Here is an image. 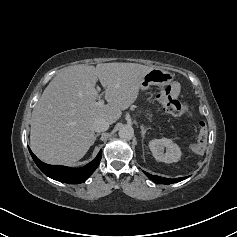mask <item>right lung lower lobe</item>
Returning a JSON list of instances; mask_svg holds the SVG:
<instances>
[{"mask_svg": "<svg viewBox=\"0 0 237 237\" xmlns=\"http://www.w3.org/2000/svg\"><path fill=\"white\" fill-rule=\"evenodd\" d=\"M28 149L34 162L45 175L54 180L69 184H79L84 182L98 167L102 157V152L100 151L97 157L84 167L70 168L66 166L45 164L32 153L29 147Z\"/></svg>", "mask_w": 237, "mask_h": 237, "instance_id": "obj_1", "label": "right lung lower lobe"}]
</instances>
